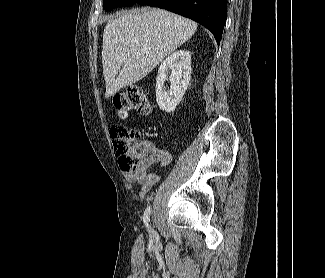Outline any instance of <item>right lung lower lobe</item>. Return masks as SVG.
<instances>
[{
  "label": "right lung lower lobe",
  "instance_id": "98d812e1",
  "mask_svg": "<svg viewBox=\"0 0 325 278\" xmlns=\"http://www.w3.org/2000/svg\"><path fill=\"white\" fill-rule=\"evenodd\" d=\"M136 3L188 17L209 29L217 44L220 43L227 16V0H138Z\"/></svg>",
  "mask_w": 325,
  "mask_h": 278
}]
</instances>
